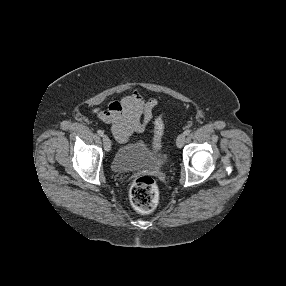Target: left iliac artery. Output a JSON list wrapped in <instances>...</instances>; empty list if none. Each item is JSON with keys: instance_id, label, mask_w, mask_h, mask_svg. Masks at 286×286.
<instances>
[{"instance_id": "obj_1", "label": "left iliac artery", "mask_w": 286, "mask_h": 286, "mask_svg": "<svg viewBox=\"0 0 286 286\" xmlns=\"http://www.w3.org/2000/svg\"><path fill=\"white\" fill-rule=\"evenodd\" d=\"M190 132H191V130L188 129V130H185V131H184V134H185V135H189Z\"/></svg>"}]
</instances>
